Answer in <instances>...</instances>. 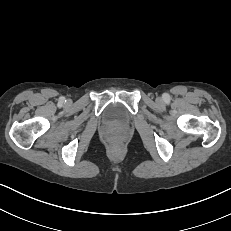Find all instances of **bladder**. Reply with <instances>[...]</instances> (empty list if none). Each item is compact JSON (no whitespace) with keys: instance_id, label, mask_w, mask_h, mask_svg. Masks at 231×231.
<instances>
[{"instance_id":"1","label":"bladder","mask_w":231,"mask_h":231,"mask_svg":"<svg viewBox=\"0 0 231 231\" xmlns=\"http://www.w3.org/2000/svg\"><path fill=\"white\" fill-rule=\"evenodd\" d=\"M104 121L113 126H122L128 121L127 111L119 104H110L104 112Z\"/></svg>"}]
</instances>
